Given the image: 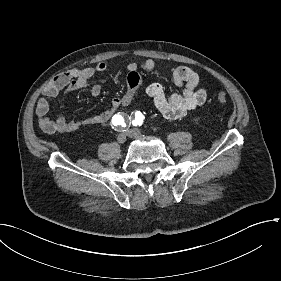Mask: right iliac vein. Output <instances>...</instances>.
<instances>
[{
	"label": "right iliac vein",
	"instance_id": "1",
	"mask_svg": "<svg viewBox=\"0 0 281 281\" xmlns=\"http://www.w3.org/2000/svg\"><path fill=\"white\" fill-rule=\"evenodd\" d=\"M125 141H126V134L125 133H120L117 136V142L120 143V144H123V143H125Z\"/></svg>",
	"mask_w": 281,
	"mask_h": 281
}]
</instances>
